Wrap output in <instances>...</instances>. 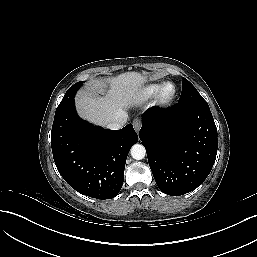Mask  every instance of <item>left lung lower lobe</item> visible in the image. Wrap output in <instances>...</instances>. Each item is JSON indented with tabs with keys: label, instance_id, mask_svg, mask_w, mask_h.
<instances>
[{
	"label": "left lung lower lobe",
	"instance_id": "0a47b994",
	"mask_svg": "<svg viewBox=\"0 0 257 257\" xmlns=\"http://www.w3.org/2000/svg\"><path fill=\"white\" fill-rule=\"evenodd\" d=\"M139 137L159 189L179 196L207 178L217 155V128L209 106L154 107L142 115Z\"/></svg>",
	"mask_w": 257,
	"mask_h": 257
}]
</instances>
